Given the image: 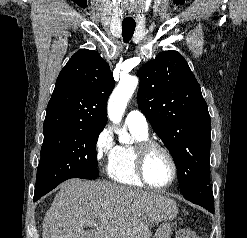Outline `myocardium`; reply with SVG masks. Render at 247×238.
<instances>
[{"label":"myocardium","mask_w":247,"mask_h":238,"mask_svg":"<svg viewBox=\"0 0 247 238\" xmlns=\"http://www.w3.org/2000/svg\"><path fill=\"white\" fill-rule=\"evenodd\" d=\"M154 149H158V150L162 151L167 156V158L171 164L172 176H171L170 181L164 185L152 184L146 176V172H145L146 159H147V156L149 155V153ZM135 167H136L137 174H138L139 178L141 179V181L146 186L153 188V189H166V188L170 187L175 182V180L177 178V174H178V168H177L176 160H175L172 152L169 150V148L166 147L164 144L157 142L155 140H151V139L141 141L137 144Z\"/></svg>","instance_id":"myocardium-1"}]
</instances>
